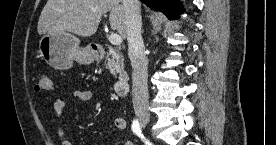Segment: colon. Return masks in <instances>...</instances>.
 <instances>
[{"label":"colon","instance_id":"5ec220e1","mask_svg":"<svg viewBox=\"0 0 276 145\" xmlns=\"http://www.w3.org/2000/svg\"><path fill=\"white\" fill-rule=\"evenodd\" d=\"M52 81L47 73H39L35 82L36 92H46L52 90Z\"/></svg>","mask_w":276,"mask_h":145}]
</instances>
